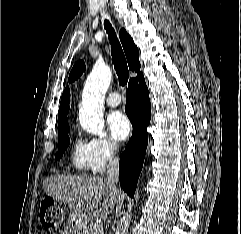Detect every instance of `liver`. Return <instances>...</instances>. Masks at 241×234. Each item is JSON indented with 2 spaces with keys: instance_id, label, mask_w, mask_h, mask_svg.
<instances>
[{
  "instance_id": "liver-1",
  "label": "liver",
  "mask_w": 241,
  "mask_h": 234,
  "mask_svg": "<svg viewBox=\"0 0 241 234\" xmlns=\"http://www.w3.org/2000/svg\"><path fill=\"white\" fill-rule=\"evenodd\" d=\"M45 192L89 219L90 214L105 217L123 194L107 178L89 175H51L43 182ZM103 200V202H102ZM99 207V208H98Z\"/></svg>"
}]
</instances>
